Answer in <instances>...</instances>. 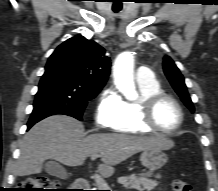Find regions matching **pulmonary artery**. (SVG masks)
I'll use <instances>...</instances> for the list:
<instances>
[{"label": "pulmonary artery", "instance_id": "1", "mask_svg": "<svg viewBox=\"0 0 218 191\" xmlns=\"http://www.w3.org/2000/svg\"><path fill=\"white\" fill-rule=\"evenodd\" d=\"M137 82L140 83H148L154 81V74L153 71L146 66H142L138 69L137 76H136Z\"/></svg>", "mask_w": 218, "mask_h": 191}]
</instances>
